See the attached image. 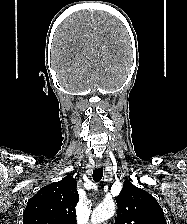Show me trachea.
<instances>
[{"mask_svg":"<svg viewBox=\"0 0 187 224\" xmlns=\"http://www.w3.org/2000/svg\"><path fill=\"white\" fill-rule=\"evenodd\" d=\"M93 179L95 182H99L101 181L102 177H103V167H99L96 168L95 170H93Z\"/></svg>","mask_w":187,"mask_h":224,"instance_id":"trachea-1","label":"trachea"}]
</instances>
